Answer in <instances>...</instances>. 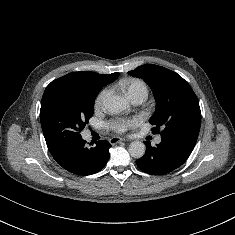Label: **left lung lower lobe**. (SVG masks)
I'll use <instances>...</instances> for the list:
<instances>
[{
    "label": "left lung lower lobe",
    "instance_id": "obj_1",
    "mask_svg": "<svg viewBox=\"0 0 235 235\" xmlns=\"http://www.w3.org/2000/svg\"><path fill=\"white\" fill-rule=\"evenodd\" d=\"M162 141L156 147L145 142L146 154L136 161L145 173L162 175L181 166L192 152L197 138L187 135L161 136Z\"/></svg>",
    "mask_w": 235,
    "mask_h": 235
}]
</instances>
